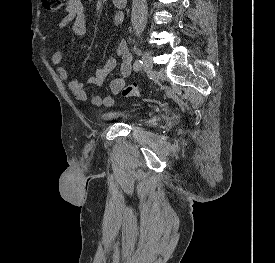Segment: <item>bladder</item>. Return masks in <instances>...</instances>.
<instances>
[{"instance_id": "1", "label": "bladder", "mask_w": 275, "mask_h": 263, "mask_svg": "<svg viewBox=\"0 0 275 263\" xmlns=\"http://www.w3.org/2000/svg\"><path fill=\"white\" fill-rule=\"evenodd\" d=\"M137 116V113L129 109H107L98 114V118L101 121H117V120H133Z\"/></svg>"}]
</instances>
